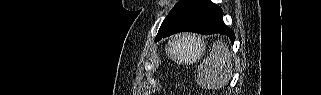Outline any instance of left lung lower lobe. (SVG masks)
Masks as SVG:
<instances>
[{
  "mask_svg": "<svg viewBox=\"0 0 321 95\" xmlns=\"http://www.w3.org/2000/svg\"><path fill=\"white\" fill-rule=\"evenodd\" d=\"M222 9L210 0H180L164 19L155 41L174 33L189 31L200 34L220 33L233 42V31L223 22Z\"/></svg>",
  "mask_w": 321,
  "mask_h": 95,
  "instance_id": "obj_1",
  "label": "left lung lower lobe"
}]
</instances>
